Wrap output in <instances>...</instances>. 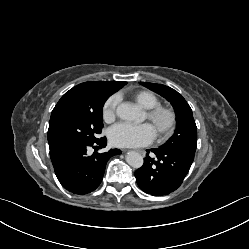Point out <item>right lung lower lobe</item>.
<instances>
[{"mask_svg":"<svg viewBox=\"0 0 249 249\" xmlns=\"http://www.w3.org/2000/svg\"><path fill=\"white\" fill-rule=\"evenodd\" d=\"M106 137L94 142L71 146L61 150L51 161L55 174L62 186L78 195L94 191L102 181L106 163L114 155L121 153L119 149L88 155L92 147L95 151L106 147Z\"/></svg>","mask_w":249,"mask_h":249,"instance_id":"right-lung-lower-lobe-1","label":"right lung lower lobe"}]
</instances>
